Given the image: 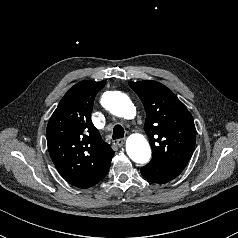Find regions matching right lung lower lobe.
Wrapping results in <instances>:
<instances>
[{"instance_id": "1", "label": "right lung lower lobe", "mask_w": 238, "mask_h": 238, "mask_svg": "<svg viewBox=\"0 0 238 238\" xmlns=\"http://www.w3.org/2000/svg\"><path fill=\"white\" fill-rule=\"evenodd\" d=\"M108 170L105 171L104 173H102L98 178H96L95 180L91 181L90 183L82 186L81 188H84V189L89 188V187L94 186L95 184L99 183L106 176Z\"/></svg>"}]
</instances>
